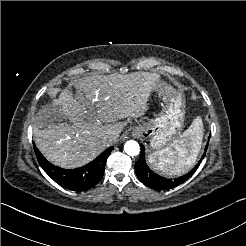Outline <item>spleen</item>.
<instances>
[{"label": "spleen", "mask_w": 246, "mask_h": 246, "mask_svg": "<svg viewBox=\"0 0 246 246\" xmlns=\"http://www.w3.org/2000/svg\"><path fill=\"white\" fill-rule=\"evenodd\" d=\"M204 135L203 122L196 117L190 127L166 148L149 158L155 170L174 177L188 172L195 164Z\"/></svg>", "instance_id": "spleen-1"}]
</instances>
